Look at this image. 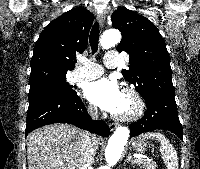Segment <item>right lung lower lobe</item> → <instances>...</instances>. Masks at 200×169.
<instances>
[{"label":"right lung lower lobe","instance_id":"98d812e1","mask_svg":"<svg viewBox=\"0 0 200 169\" xmlns=\"http://www.w3.org/2000/svg\"><path fill=\"white\" fill-rule=\"evenodd\" d=\"M26 122L25 136L38 127L52 123L73 124L101 136H108L110 133L104 121L90 118L76 93L68 98L54 96L29 102Z\"/></svg>","mask_w":200,"mask_h":169}]
</instances>
